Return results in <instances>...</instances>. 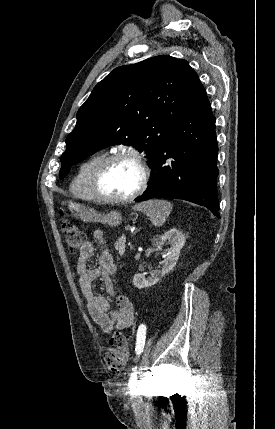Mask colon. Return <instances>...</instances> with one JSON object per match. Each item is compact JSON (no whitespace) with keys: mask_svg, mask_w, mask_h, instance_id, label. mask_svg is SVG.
<instances>
[{"mask_svg":"<svg viewBox=\"0 0 275 429\" xmlns=\"http://www.w3.org/2000/svg\"><path fill=\"white\" fill-rule=\"evenodd\" d=\"M62 231L68 250L78 252L84 244V233L72 222L64 220ZM111 349L105 352L103 360L107 368L114 374L119 373L128 360V339L121 331H115L110 339Z\"/></svg>","mask_w":275,"mask_h":429,"instance_id":"5ec220e1","label":"colon"}]
</instances>
